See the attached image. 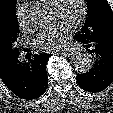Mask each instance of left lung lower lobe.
<instances>
[{"label": "left lung lower lobe", "instance_id": "0a47b994", "mask_svg": "<svg viewBox=\"0 0 113 113\" xmlns=\"http://www.w3.org/2000/svg\"><path fill=\"white\" fill-rule=\"evenodd\" d=\"M74 39L94 57L92 68L84 74H77L78 85L91 93L104 90L113 82V37L97 36L90 40L84 34H77Z\"/></svg>", "mask_w": 113, "mask_h": 113}]
</instances>
